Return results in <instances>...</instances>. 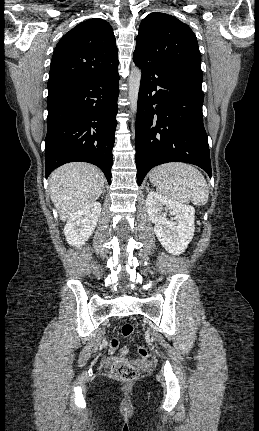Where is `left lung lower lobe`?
Instances as JSON below:
<instances>
[{
	"label": "left lung lower lobe",
	"instance_id": "left-lung-lower-lobe-1",
	"mask_svg": "<svg viewBox=\"0 0 259 431\" xmlns=\"http://www.w3.org/2000/svg\"><path fill=\"white\" fill-rule=\"evenodd\" d=\"M133 60L142 70L135 126L138 185L150 169L167 162L195 164L211 177L202 82L145 61L140 55H134Z\"/></svg>",
	"mask_w": 259,
	"mask_h": 431
}]
</instances>
